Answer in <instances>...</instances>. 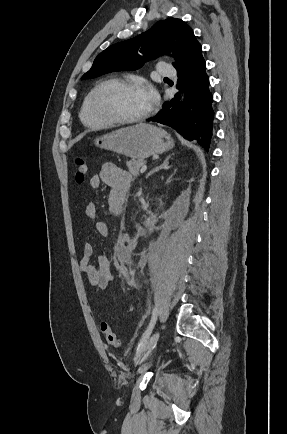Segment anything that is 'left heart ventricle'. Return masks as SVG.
<instances>
[{
    "label": "left heart ventricle",
    "mask_w": 287,
    "mask_h": 434,
    "mask_svg": "<svg viewBox=\"0 0 287 434\" xmlns=\"http://www.w3.org/2000/svg\"><path fill=\"white\" fill-rule=\"evenodd\" d=\"M100 107L116 118L127 119L142 115L149 109L144 87H110L102 94Z\"/></svg>",
    "instance_id": "left-heart-ventricle-1"
}]
</instances>
